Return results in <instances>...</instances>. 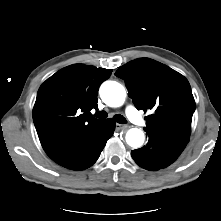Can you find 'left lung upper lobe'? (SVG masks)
Wrapping results in <instances>:
<instances>
[{
  "label": "left lung upper lobe",
  "mask_w": 221,
  "mask_h": 221,
  "mask_svg": "<svg viewBox=\"0 0 221 221\" xmlns=\"http://www.w3.org/2000/svg\"><path fill=\"white\" fill-rule=\"evenodd\" d=\"M115 75L125 80L128 95L145 117L147 132L180 151L189 141L195 101L187 79L170 67L149 58L121 66Z\"/></svg>",
  "instance_id": "obj_1"
}]
</instances>
